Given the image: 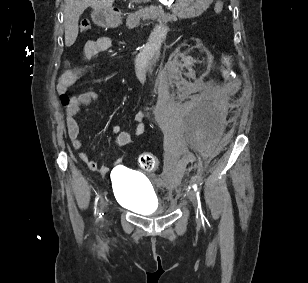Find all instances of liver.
<instances>
[{
	"instance_id": "1",
	"label": "liver",
	"mask_w": 308,
	"mask_h": 283,
	"mask_svg": "<svg viewBox=\"0 0 308 283\" xmlns=\"http://www.w3.org/2000/svg\"><path fill=\"white\" fill-rule=\"evenodd\" d=\"M135 3L149 2L150 0H132ZM114 0H65L64 28L65 45L70 47L78 36V22L81 14L91 7L97 11H109Z\"/></svg>"
}]
</instances>
